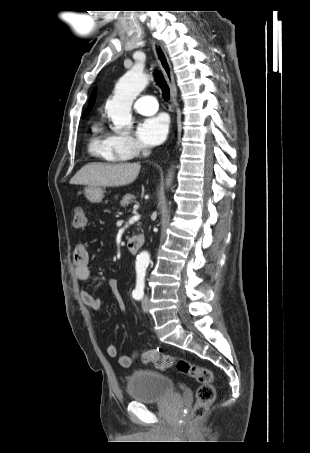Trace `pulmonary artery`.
<instances>
[{"instance_id":"e3ab8cb5","label":"pulmonary artery","mask_w":310,"mask_h":453,"mask_svg":"<svg viewBox=\"0 0 310 453\" xmlns=\"http://www.w3.org/2000/svg\"><path fill=\"white\" fill-rule=\"evenodd\" d=\"M134 109L143 115L154 114L158 110V103L151 95H143L134 102Z\"/></svg>"}]
</instances>
